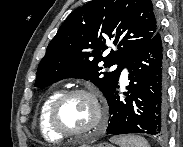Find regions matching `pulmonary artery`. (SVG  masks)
I'll return each instance as SVG.
<instances>
[{"mask_svg": "<svg viewBox=\"0 0 183 147\" xmlns=\"http://www.w3.org/2000/svg\"><path fill=\"white\" fill-rule=\"evenodd\" d=\"M122 77L124 80H126V78H127V69L126 68H124V70L122 72Z\"/></svg>", "mask_w": 183, "mask_h": 147, "instance_id": "1", "label": "pulmonary artery"}]
</instances>
